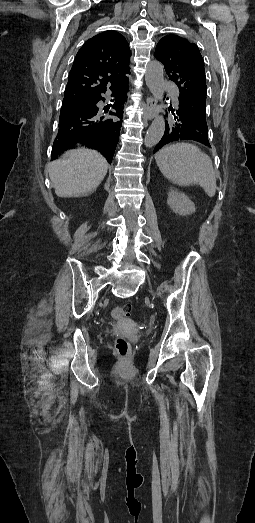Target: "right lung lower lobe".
Here are the masks:
<instances>
[{"label": "right lung lower lobe", "instance_id": "98d812e1", "mask_svg": "<svg viewBox=\"0 0 255 523\" xmlns=\"http://www.w3.org/2000/svg\"><path fill=\"white\" fill-rule=\"evenodd\" d=\"M79 118L83 120V141L91 143L94 141V132L98 129L94 122L100 119V106L97 103H92L90 106L82 105L79 107Z\"/></svg>", "mask_w": 255, "mask_h": 523}]
</instances>
